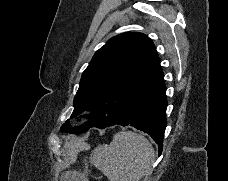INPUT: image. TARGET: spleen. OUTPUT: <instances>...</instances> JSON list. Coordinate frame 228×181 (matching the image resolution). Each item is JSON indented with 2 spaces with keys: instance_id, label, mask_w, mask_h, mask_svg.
I'll return each instance as SVG.
<instances>
[{
  "instance_id": "3e777b00",
  "label": "spleen",
  "mask_w": 228,
  "mask_h": 181,
  "mask_svg": "<svg viewBox=\"0 0 228 181\" xmlns=\"http://www.w3.org/2000/svg\"><path fill=\"white\" fill-rule=\"evenodd\" d=\"M155 151L143 135L120 131L110 145L94 149L90 161L109 181H141L151 173Z\"/></svg>"
}]
</instances>
